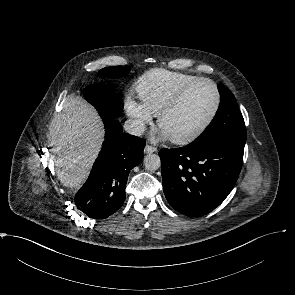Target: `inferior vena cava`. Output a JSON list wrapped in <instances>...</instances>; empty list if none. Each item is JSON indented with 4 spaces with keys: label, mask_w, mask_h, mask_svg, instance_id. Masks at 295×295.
<instances>
[{
    "label": "inferior vena cava",
    "mask_w": 295,
    "mask_h": 295,
    "mask_svg": "<svg viewBox=\"0 0 295 295\" xmlns=\"http://www.w3.org/2000/svg\"><path fill=\"white\" fill-rule=\"evenodd\" d=\"M124 129L129 134L141 136L145 131V124L140 120L128 119L124 123Z\"/></svg>",
    "instance_id": "602c4592"
}]
</instances>
